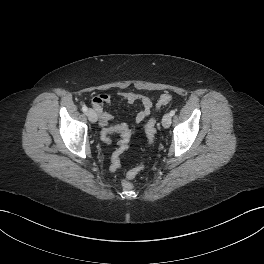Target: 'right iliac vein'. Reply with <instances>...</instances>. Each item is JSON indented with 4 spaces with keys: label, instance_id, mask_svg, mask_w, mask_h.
<instances>
[{
    "label": "right iliac vein",
    "instance_id": "obj_1",
    "mask_svg": "<svg viewBox=\"0 0 264 264\" xmlns=\"http://www.w3.org/2000/svg\"><path fill=\"white\" fill-rule=\"evenodd\" d=\"M86 115H87L88 119H89L92 123H95V122L97 121V114L95 113L94 110L89 109V110L86 112Z\"/></svg>",
    "mask_w": 264,
    "mask_h": 264
}]
</instances>
